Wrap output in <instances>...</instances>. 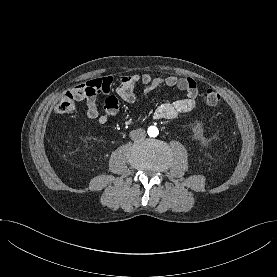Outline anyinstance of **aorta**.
<instances>
[{
    "mask_svg": "<svg viewBox=\"0 0 277 277\" xmlns=\"http://www.w3.org/2000/svg\"><path fill=\"white\" fill-rule=\"evenodd\" d=\"M158 134H159V130H158L157 127H155V126H150V127L148 128V135H149L150 137H156Z\"/></svg>",
    "mask_w": 277,
    "mask_h": 277,
    "instance_id": "aorta-1",
    "label": "aorta"
}]
</instances>
